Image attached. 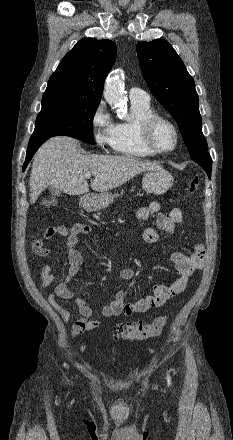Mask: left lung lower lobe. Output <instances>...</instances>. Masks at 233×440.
<instances>
[{"label": "left lung lower lobe", "mask_w": 233, "mask_h": 440, "mask_svg": "<svg viewBox=\"0 0 233 440\" xmlns=\"http://www.w3.org/2000/svg\"><path fill=\"white\" fill-rule=\"evenodd\" d=\"M196 163H198L207 173L208 177H211V166H212V159H205V160H194Z\"/></svg>", "instance_id": "1"}]
</instances>
